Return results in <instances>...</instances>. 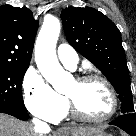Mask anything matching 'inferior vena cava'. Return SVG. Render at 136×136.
Masks as SVG:
<instances>
[{
    "mask_svg": "<svg viewBox=\"0 0 136 136\" xmlns=\"http://www.w3.org/2000/svg\"><path fill=\"white\" fill-rule=\"evenodd\" d=\"M33 124H34L35 131L39 133H45L46 131L50 129L47 123L42 122L39 119H33Z\"/></svg>",
    "mask_w": 136,
    "mask_h": 136,
    "instance_id": "602c4592",
    "label": "inferior vena cava"
}]
</instances>
